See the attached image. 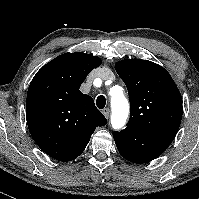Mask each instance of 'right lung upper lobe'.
Returning a JSON list of instances; mask_svg holds the SVG:
<instances>
[{
	"label": "right lung upper lobe",
	"mask_w": 199,
	"mask_h": 199,
	"mask_svg": "<svg viewBox=\"0 0 199 199\" xmlns=\"http://www.w3.org/2000/svg\"><path fill=\"white\" fill-rule=\"evenodd\" d=\"M101 59L65 53L44 65L27 93L26 119L36 144L50 157L67 162L82 154L92 133L107 124L94 100L79 90Z\"/></svg>",
	"instance_id": "right-lung-upper-lobe-1"
}]
</instances>
